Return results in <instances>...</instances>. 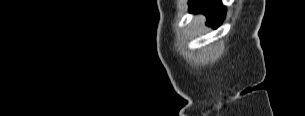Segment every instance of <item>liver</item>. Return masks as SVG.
I'll list each match as a JSON object with an SVG mask.
<instances>
[{
    "instance_id": "6515ba94",
    "label": "liver",
    "mask_w": 305,
    "mask_h": 116,
    "mask_svg": "<svg viewBox=\"0 0 305 116\" xmlns=\"http://www.w3.org/2000/svg\"><path fill=\"white\" fill-rule=\"evenodd\" d=\"M195 21H196V23H199V24H200V23H204L205 17L199 15V16L196 17Z\"/></svg>"
}]
</instances>
